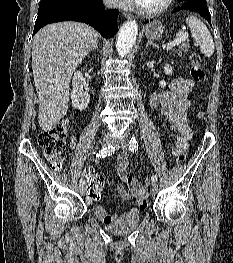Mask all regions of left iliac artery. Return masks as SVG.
I'll return each instance as SVG.
<instances>
[{
	"label": "left iliac artery",
	"instance_id": "1",
	"mask_svg": "<svg viewBox=\"0 0 233 263\" xmlns=\"http://www.w3.org/2000/svg\"><path fill=\"white\" fill-rule=\"evenodd\" d=\"M129 150L131 152H136L138 150V142L134 136L131 137V139L129 141ZM151 179H152L153 183H156L158 180L156 175H152Z\"/></svg>",
	"mask_w": 233,
	"mask_h": 263
}]
</instances>
